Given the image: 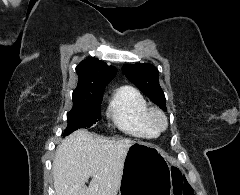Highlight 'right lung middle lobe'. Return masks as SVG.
Returning <instances> with one entry per match:
<instances>
[{"mask_svg":"<svg viewBox=\"0 0 240 195\" xmlns=\"http://www.w3.org/2000/svg\"><path fill=\"white\" fill-rule=\"evenodd\" d=\"M102 98L73 99V107L67 114L68 126L64 136L79 128H89L101 119Z\"/></svg>","mask_w":240,"mask_h":195,"instance_id":"obj_1","label":"right lung middle lobe"}]
</instances>
